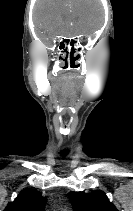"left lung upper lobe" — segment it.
<instances>
[{
	"label": "left lung upper lobe",
	"mask_w": 133,
	"mask_h": 211,
	"mask_svg": "<svg viewBox=\"0 0 133 211\" xmlns=\"http://www.w3.org/2000/svg\"><path fill=\"white\" fill-rule=\"evenodd\" d=\"M69 199L76 211H118L103 191L70 192Z\"/></svg>",
	"instance_id": "1"
}]
</instances>
